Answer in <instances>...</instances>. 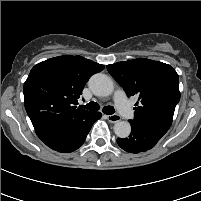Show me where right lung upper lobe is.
<instances>
[{
  "instance_id": "cb5924a9",
  "label": "right lung upper lobe",
  "mask_w": 201,
  "mask_h": 201,
  "mask_svg": "<svg viewBox=\"0 0 201 201\" xmlns=\"http://www.w3.org/2000/svg\"><path fill=\"white\" fill-rule=\"evenodd\" d=\"M104 66L64 55L35 65L24 83L25 108L34 129L71 127L93 112L77 108L85 83Z\"/></svg>"
}]
</instances>
